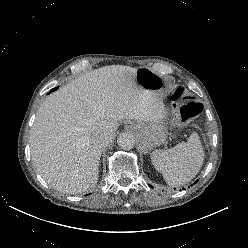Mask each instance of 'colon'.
I'll return each instance as SVG.
<instances>
[{
    "label": "colon",
    "mask_w": 248,
    "mask_h": 248,
    "mask_svg": "<svg viewBox=\"0 0 248 248\" xmlns=\"http://www.w3.org/2000/svg\"><path fill=\"white\" fill-rule=\"evenodd\" d=\"M183 93L184 91L182 88L177 89L173 94L174 99H181ZM200 110V105L197 102H189L187 104L182 105L180 108L181 120L183 122L192 121L199 114Z\"/></svg>",
    "instance_id": "5ec220e1"
}]
</instances>
